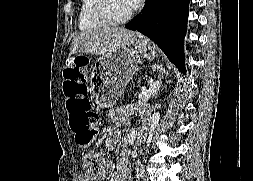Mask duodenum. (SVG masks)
<instances>
[{
    "instance_id": "duodenum-1",
    "label": "duodenum",
    "mask_w": 253,
    "mask_h": 181,
    "mask_svg": "<svg viewBox=\"0 0 253 181\" xmlns=\"http://www.w3.org/2000/svg\"><path fill=\"white\" fill-rule=\"evenodd\" d=\"M145 133H146V131L143 130V131L141 132V136H144Z\"/></svg>"
}]
</instances>
